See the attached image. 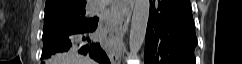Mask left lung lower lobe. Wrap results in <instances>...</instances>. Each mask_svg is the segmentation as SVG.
Instances as JSON below:
<instances>
[{
    "label": "left lung lower lobe",
    "instance_id": "left-lung-lower-lobe-1",
    "mask_svg": "<svg viewBox=\"0 0 242 64\" xmlns=\"http://www.w3.org/2000/svg\"><path fill=\"white\" fill-rule=\"evenodd\" d=\"M145 64H194L197 45L190 0H150Z\"/></svg>",
    "mask_w": 242,
    "mask_h": 64
}]
</instances>
